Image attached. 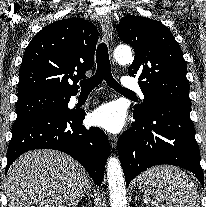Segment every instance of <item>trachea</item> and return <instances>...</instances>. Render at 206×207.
Returning <instances> with one entry per match:
<instances>
[{
  "label": "trachea",
  "instance_id": "obj_1",
  "mask_svg": "<svg viewBox=\"0 0 206 207\" xmlns=\"http://www.w3.org/2000/svg\"><path fill=\"white\" fill-rule=\"evenodd\" d=\"M96 62L97 70L95 75L80 82L82 91H92L95 87L102 83L103 80H105L108 86L113 88L117 92L134 94L132 91L125 89L120 84H118L113 78L111 73L108 47L104 42L100 43L97 47Z\"/></svg>",
  "mask_w": 206,
  "mask_h": 207
}]
</instances>
